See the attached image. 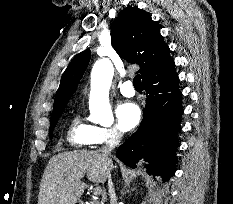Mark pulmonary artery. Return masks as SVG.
<instances>
[{
  "instance_id": "1",
  "label": "pulmonary artery",
  "mask_w": 233,
  "mask_h": 204,
  "mask_svg": "<svg viewBox=\"0 0 233 204\" xmlns=\"http://www.w3.org/2000/svg\"><path fill=\"white\" fill-rule=\"evenodd\" d=\"M120 92L125 97H133L135 95V89L133 88L132 82H123L120 86Z\"/></svg>"
}]
</instances>
